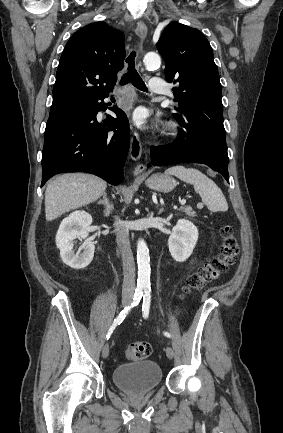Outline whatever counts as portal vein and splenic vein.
<instances>
[{"instance_id":"1","label":"portal vein and splenic vein","mask_w":283,"mask_h":433,"mask_svg":"<svg viewBox=\"0 0 283 433\" xmlns=\"http://www.w3.org/2000/svg\"><path fill=\"white\" fill-rule=\"evenodd\" d=\"M181 202H185V200H181Z\"/></svg>"}]
</instances>
